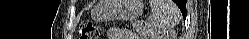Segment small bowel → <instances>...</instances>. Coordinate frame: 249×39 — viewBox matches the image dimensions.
Segmentation results:
<instances>
[{"instance_id": "obj_1", "label": "small bowel", "mask_w": 249, "mask_h": 39, "mask_svg": "<svg viewBox=\"0 0 249 39\" xmlns=\"http://www.w3.org/2000/svg\"><path fill=\"white\" fill-rule=\"evenodd\" d=\"M108 33L111 36H115L117 38H126L130 39L133 37V33L127 29L124 28H118V27H112L109 29Z\"/></svg>"}]
</instances>
